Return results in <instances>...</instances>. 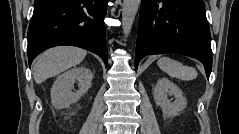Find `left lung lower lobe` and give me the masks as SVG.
I'll list each match as a JSON object with an SVG mask.
<instances>
[{
	"mask_svg": "<svg viewBox=\"0 0 239 134\" xmlns=\"http://www.w3.org/2000/svg\"><path fill=\"white\" fill-rule=\"evenodd\" d=\"M182 54L212 70L210 29L203 0H142L135 68L148 54Z\"/></svg>",
	"mask_w": 239,
	"mask_h": 134,
	"instance_id": "obj_1",
	"label": "left lung lower lobe"
}]
</instances>
